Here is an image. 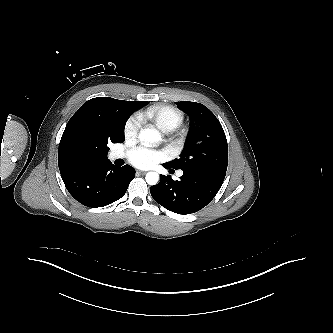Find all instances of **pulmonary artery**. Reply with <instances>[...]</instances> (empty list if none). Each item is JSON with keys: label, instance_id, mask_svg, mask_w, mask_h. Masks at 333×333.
Returning a JSON list of instances; mask_svg holds the SVG:
<instances>
[{"label": "pulmonary artery", "instance_id": "1", "mask_svg": "<svg viewBox=\"0 0 333 333\" xmlns=\"http://www.w3.org/2000/svg\"><path fill=\"white\" fill-rule=\"evenodd\" d=\"M123 157H124V154L120 151H113L109 155V158L111 160H116V159H120V158H123ZM182 174H183L182 171L178 172L179 176H181Z\"/></svg>", "mask_w": 333, "mask_h": 333}]
</instances>
